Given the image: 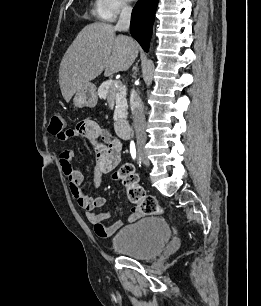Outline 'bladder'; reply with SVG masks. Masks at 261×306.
Here are the masks:
<instances>
[{"label":"bladder","mask_w":261,"mask_h":306,"mask_svg":"<svg viewBox=\"0 0 261 306\" xmlns=\"http://www.w3.org/2000/svg\"><path fill=\"white\" fill-rule=\"evenodd\" d=\"M170 239L167 222L157 216L145 217L122 227L111 239L112 249L124 256L148 260L157 256Z\"/></svg>","instance_id":"1"}]
</instances>
